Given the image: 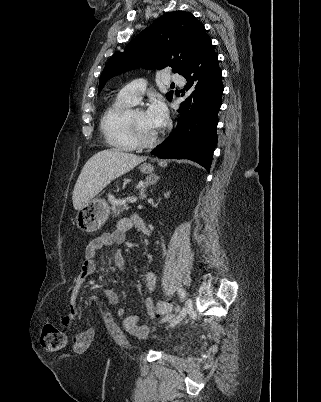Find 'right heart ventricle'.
Returning <instances> with one entry per match:
<instances>
[{
    "label": "right heart ventricle",
    "instance_id": "e07e8e85",
    "mask_svg": "<svg viewBox=\"0 0 321 402\" xmlns=\"http://www.w3.org/2000/svg\"><path fill=\"white\" fill-rule=\"evenodd\" d=\"M131 105L117 97L107 106L100 121V130L106 143L120 151H133L138 148L126 126L127 109Z\"/></svg>",
    "mask_w": 321,
    "mask_h": 402
}]
</instances>
